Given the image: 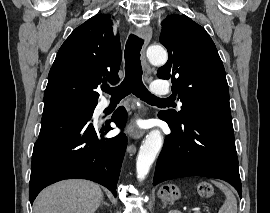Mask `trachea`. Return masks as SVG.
<instances>
[{
	"instance_id": "obj_1",
	"label": "trachea",
	"mask_w": 270,
	"mask_h": 213,
	"mask_svg": "<svg viewBox=\"0 0 270 213\" xmlns=\"http://www.w3.org/2000/svg\"><path fill=\"white\" fill-rule=\"evenodd\" d=\"M143 39L131 34L125 46V78L122 83L114 88L106 87L105 92L111 95V99H122L133 93L136 97L148 103L166 102L168 99L158 98L152 95L142 82V66L140 51Z\"/></svg>"
}]
</instances>
